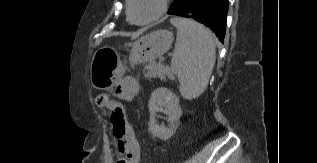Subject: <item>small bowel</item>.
Listing matches in <instances>:
<instances>
[{
	"label": "small bowel",
	"instance_id": "obj_1",
	"mask_svg": "<svg viewBox=\"0 0 317 163\" xmlns=\"http://www.w3.org/2000/svg\"><path fill=\"white\" fill-rule=\"evenodd\" d=\"M139 91L137 82L131 77H125L117 81L115 94L119 99L125 101L133 100ZM116 103L115 101H111ZM116 140L118 156L113 158L112 151L109 149L105 153V163H139L141 150L135 133L130 125H126L124 132L116 133L113 130Z\"/></svg>",
	"mask_w": 317,
	"mask_h": 163
}]
</instances>
